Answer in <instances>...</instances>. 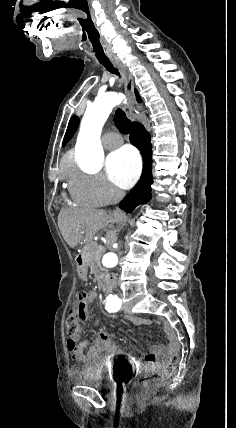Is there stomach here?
<instances>
[{
    "label": "stomach",
    "instance_id": "stomach-1",
    "mask_svg": "<svg viewBox=\"0 0 236 428\" xmlns=\"http://www.w3.org/2000/svg\"><path fill=\"white\" fill-rule=\"evenodd\" d=\"M78 271L81 279H89L90 274L87 266H80Z\"/></svg>",
    "mask_w": 236,
    "mask_h": 428
}]
</instances>
